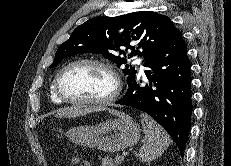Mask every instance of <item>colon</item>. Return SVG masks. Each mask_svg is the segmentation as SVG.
I'll list each match as a JSON object with an SVG mask.
<instances>
[{
  "label": "colon",
  "mask_w": 231,
  "mask_h": 166,
  "mask_svg": "<svg viewBox=\"0 0 231 166\" xmlns=\"http://www.w3.org/2000/svg\"><path fill=\"white\" fill-rule=\"evenodd\" d=\"M72 166H91V165L87 161H81V160H78V159H74L72 161Z\"/></svg>",
  "instance_id": "colon-1"
}]
</instances>
